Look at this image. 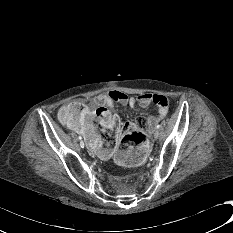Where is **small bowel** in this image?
Segmentation results:
<instances>
[{
  "instance_id": "obj_1",
  "label": "small bowel",
  "mask_w": 233,
  "mask_h": 233,
  "mask_svg": "<svg viewBox=\"0 0 233 233\" xmlns=\"http://www.w3.org/2000/svg\"><path fill=\"white\" fill-rule=\"evenodd\" d=\"M77 103L83 106V110L81 115L78 116V121L70 124L69 127L81 134L89 150L101 159L112 157L118 147L122 130L126 124H122L118 116L112 114L106 108L113 107L115 103L131 108L140 106L145 109L153 104L156 105L157 115H149L146 118V126L150 131L158 120L165 117L168 111V99L163 95L142 93L137 96H131L117 90L102 93L94 98L84 99ZM99 109L107 111L102 120L96 116V112ZM96 119L102 131L113 136L111 140H106L98 132L94 124ZM149 158L150 149L146 145H136L131 149H119L115 153V162L119 166H137L146 162Z\"/></svg>"
}]
</instances>
